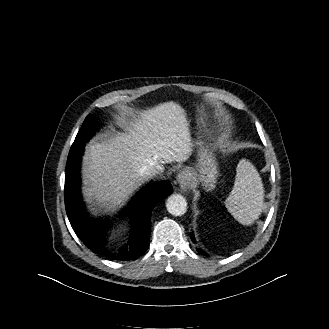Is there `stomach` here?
<instances>
[{"mask_svg":"<svg viewBox=\"0 0 329 329\" xmlns=\"http://www.w3.org/2000/svg\"><path fill=\"white\" fill-rule=\"evenodd\" d=\"M206 115L200 110L199 117L197 119L200 128H203L205 133L209 130L206 128ZM198 145L200 146L198 152V165L195 170L191 171L192 177L196 178L206 191L213 190L218 177V167L215 161L213 153L204 146V142L199 140Z\"/></svg>","mask_w":329,"mask_h":329,"instance_id":"0dacf381","label":"stomach"}]
</instances>
